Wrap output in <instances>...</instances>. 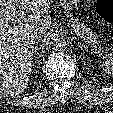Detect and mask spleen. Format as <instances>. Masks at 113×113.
<instances>
[{"label":"spleen","instance_id":"obj_1","mask_svg":"<svg viewBox=\"0 0 113 113\" xmlns=\"http://www.w3.org/2000/svg\"><path fill=\"white\" fill-rule=\"evenodd\" d=\"M101 68L107 75L113 77V54L112 52L109 54L108 59L101 64Z\"/></svg>","mask_w":113,"mask_h":113}]
</instances>
